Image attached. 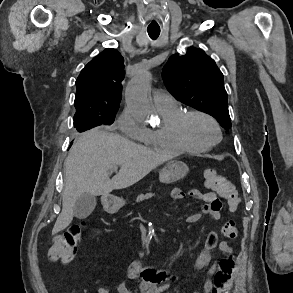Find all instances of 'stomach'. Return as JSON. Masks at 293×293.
I'll use <instances>...</instances> for the list:
<instances>
[{
	"instance_id": "stomach-1",
	"label": "stomach",
	"mask_w": 293,
	"mask_h": 293,
	"mask_svg": "<svg viewBox=\"0 0 293 293\" xmlns=\"http://www.w3.org/2000/svg\"><path fill=\"white\" fill-rule=\"evenodd\" d=\"M188 171L189 168L184 162L171 160L160 171L159 180L161 183L171 184L184 178ZM124 204L125 201L116 196H109L103 200L104 207L111 211L119 210Z\"/></svg>"
}]
</instances>
